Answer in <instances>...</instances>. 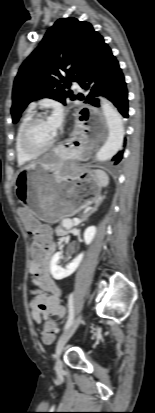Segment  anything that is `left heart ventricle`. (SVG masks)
Masks as SVG:
<instances>
[{
  "label": "left heart ventricle",
  "instance_id": "obj_1",
  "mask_svg": "<svg viewBox=\"0 0 155 413\" xmlns=\"http://www.w3.org/2000/svg\"><path fill=\"white\" fill-rule=\"evenodd\" d=\"M56 137L48 123V120L38 122L32 129L30 134L31 144L37 148H41L49 144Z\"/></svg>",
  "mask_w": 155,
  "mask_h": 413
}]
</instances>
